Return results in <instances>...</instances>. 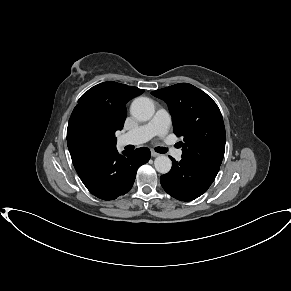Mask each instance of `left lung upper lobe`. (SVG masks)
<instances>
[{"mask_svg": "<svg viewBox=\"0 0 291 291\" xmlns=\"http://www.w3.org/2000/svg\"><path fill=\"white\" fill-rule=\"evenodd\" d=\"M152 94L168 105L174 133L183 138L182 159L219 170L226 134L221 112L212 98L188 83L175 84Z\"/></svg>", "mask_w": 291, "mask_h": 291, "instance_id": "1", "label": "left lung upper lobe"}]
</instances>
